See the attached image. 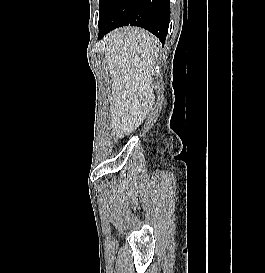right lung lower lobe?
Returning <instances> with one entry per match:
<instances>
[{
  "mask_svg": "<svg viewBox=\"0 0 265 273\" xmlns=\"http://www.w3.org/2000/svg\"><path fill=\"white\" fill-rule=\"evenodd\" d=\"M170 0H114L103 21L98 37L121 26H139L165 42L169 20Z\"/></svg>",
  "mask_w": 265,
  "mask_h": 273,
  "instance_id": "right-lung-lower-lobe-1",
  "label": "right lung lower lobe"
}]
</instances>
